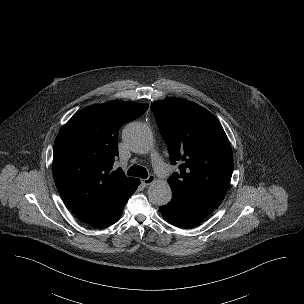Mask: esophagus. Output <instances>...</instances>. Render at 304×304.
<instances>
[{"instance_id": "esophagus-1", "label": "esophagus", "mask_w": 304, "mask_h": 304, "mask_svg": "<svg viewBox=\"0 0 304 304\" xmlns=\"http://www.w3.org/2000/svg\"><path fill=\"white\" fill-rule=\"evenodd\" d=\"M155 181H156L155 176L149 175L147 178L142 179L141 182L144 186H148V185H151L152 183H154Z\"/></svg>"}]
</instances>
